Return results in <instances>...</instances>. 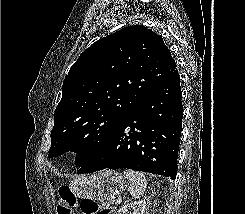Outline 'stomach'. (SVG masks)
I'll return each instance as SVG.
<instances>
[{"mask_svg":"<svg viewBox=\"0 0 245 214\" xmlns=\"http://www.w3.org/2000/svg\"><path fill=\"white\" fill-rule=\"evenodd\" d=\"M123 175L115 170L105 169L92 175H81L73 179L70 189L78 198L110 202L125 189Z\"/></svg>","mask_w":245,"mask_h":214,"instance_id":"0dacf381","label":"stomach"}]
</instances>
